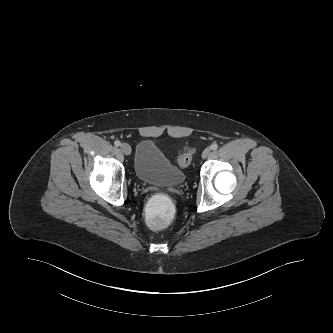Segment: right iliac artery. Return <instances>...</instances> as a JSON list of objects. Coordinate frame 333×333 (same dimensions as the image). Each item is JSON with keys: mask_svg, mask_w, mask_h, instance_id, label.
I'll return each instance as SVG.
<instances>
[{"mask_svg": "<svg viewBox=\"0 0 333 333\" xmlns=\"http://www.w3.org/2000/svg\"><path fill=\"white\" fill-rule=\"evenodd\" d=\"M114 144H115V146L119 147V146L121 145V142L118 141V140H116V141L114 142Z\"/></svg>", "mask_w": 333, "mask_h": 333, "instance_id": "1", "label": "right iliac artery"}]
</instances>
